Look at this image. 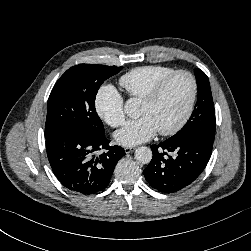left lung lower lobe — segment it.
I'll list each match as a JSON object with an SVG mask.
<instances>
[{
  "mask_svg": "<svg viewBox=\"0 0 251 251\" xmlns=\"http://www.w3.org/2000/svg\"><path fill=\"white\" fill-rule=\"evenodd\" d=\"M213 141L202 135H190L152 145L153 157L144 169L146 180L154 189L164 193L188 187L205 169Z\"/></svg>",
  "mask_w": 251,
  "mask_h": 251,
  "instance_id": "0a47b994",
  "label": "left lung lower lobe"
}]
</instances>
